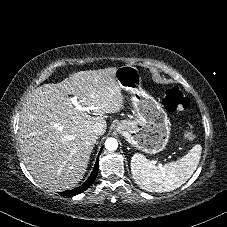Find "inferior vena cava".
Segmentation results:
<instances>
[{
  "label": "inferior vena cava",
  "mask_w": 227,
  "mask_h": 227,
  "mask_svg": "<svg viewBox=\"0 0 227 227\" xmlns=\"http://www.w3.org/2000/svg\"><path fill=\"white\" fill-rule=\"evenodd\" d=\"M92 131L96 135L104 134V132H105V126H104V124H102L100 122H97V123H95L93 125Z\"/></svg>",
  "instance_id": "inferior-vena-cava-1"
}]
</instances>
